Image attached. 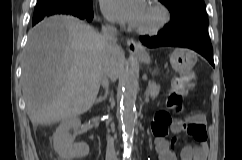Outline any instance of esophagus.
Here are the masks:
<instances>
[{
	"label": "esophagus",
	"instance_id": "esophagus-1",
	"mask_svg": "<svg viewBox=\"0 0 242 160\" xmlns=\"http://www.w3.org/2000/svg\"><path fill=\"white\" fill-rule=\"evenodd\" d=\"M127 48L130 52L133 53H144V49L138 45L133 39L127 40Z\"/></svg>",
	"mask_w": 242,
	"mask_h": 160
}]
</instances>
